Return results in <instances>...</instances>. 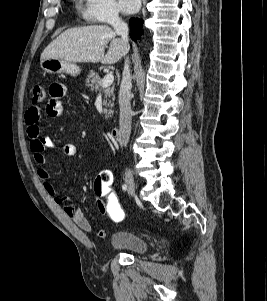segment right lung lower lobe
Wrapping results in <instances>:
<instances>
[{
	"mask_svg": "<svg viewBox=\"0 0 267 301\" xmlns=\"http://www.w3.org/2000/svg\"><path fill=\"white\" fill-rule=\"evenodd\" d=\"M142 24H143L142 19H139V18H131L130 19V29H131L130 36L134 41H137V39L143 32L141 30Z\"/></svg>",
	"mask_w": 267,
	"mask_h": 301,
	"instance_id": "98d812e1",
	"label": "right lung lower lobe"
}]
</instances>
